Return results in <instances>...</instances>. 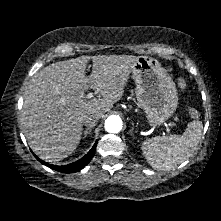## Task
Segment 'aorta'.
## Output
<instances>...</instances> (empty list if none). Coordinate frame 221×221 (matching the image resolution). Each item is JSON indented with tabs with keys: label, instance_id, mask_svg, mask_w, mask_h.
I'll return each mask as SVG.
<instances>
[{
	"label": "aorta",
	"instance_id": "1",
	"mask_svg": "<svg viewBox=\"0 0 221 221\" xmlns=\"http://www.w3.org/2000/svg\"><path fill=\"white\" fill-rule=\"evenodd\" d=\"M105 129L109 133H119L122 130V120L119 116H109L105 121Z\"/></svg>",
	"mask_w": 221,
	"mask_h": 221
}]
</instances>
